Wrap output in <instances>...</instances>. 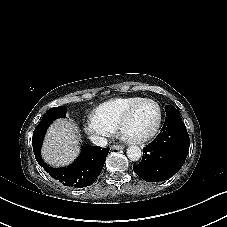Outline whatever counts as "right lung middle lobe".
<instances>
[{
	"instance_id": "dd1d6c3e",
	"label": "right lung middle lobe",
	"mask_w": 227,
	"mask_h": 227,
	"mask_svg": "<svg viewBox=\"0 0 227 227\" xmlns=\"http://www.w3.org/2000/svg\"><path fill=\"white\" fill-rule=\"evenodd\" d=\"M66 116V107L59 106L49 109L41 119L38 125L50 124L53 120L57 118H64Z\"/></svg>"
}]
</instances>
